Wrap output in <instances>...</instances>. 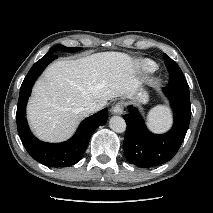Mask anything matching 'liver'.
<instances>
[{
  "mask_svg": "<svg viewBox=\"0 0 213 213\" xmlns=\"http://www.w3.org/2000/svg\"><path fill=\"white\" fill-rule=\"evenodd\" d=\"M135 65L130 56L120 52L51 64L35 83L27 106L36 136L48 142L64 141L89 115L84 108L90 103L103 108L110 99L132 98L139 87Z\"/></svg>",
  "mask_w": 213,
  "mask_h": 213,
  "instance_id": "1",
  "label": "liver"
}]
</instances>
